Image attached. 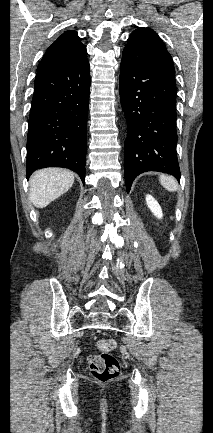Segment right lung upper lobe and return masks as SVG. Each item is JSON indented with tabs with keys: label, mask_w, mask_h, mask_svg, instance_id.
<instances>
[{
	"label": "right lung upper lobe",
	"mask_w": 213,
	"mask_h": 433,
	"mask_svg": "<svg viewBox=\"0 0 213 433\" xmlns=\"http://www.w3.org/2000/svg\"><path fill=\"white\" fill-rule=\"evenodd\" d=\"M86 55V48L81 43L77 32L74 30L65 31L47 49L38 65L37 72L77 65L87 59Z\"/></svg>",
	"instance_id": "1"
}]
</instances>
